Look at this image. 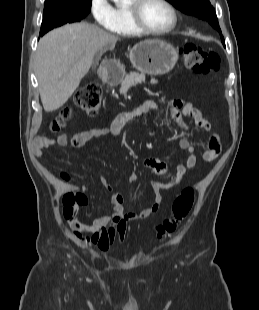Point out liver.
Segmentation results:
<instances>
[{
    "instance_id": "1",
    "label": "liver",
    "mask_w": 259,
    "mask_h": 310,
    "mask_svg": "<svg viewBox=\"0 0 259 310\" xmlns=\"http://www.w3.org/2000/svg\"><path fill=\"white\" fill-rule=\"evenodd\" d=\"M118 40L87 23L68 24L42 37L35 65L44 110L62 107L88 73L96 53L105 48L113 50Z\"/></svg>"
}]
</instances>
